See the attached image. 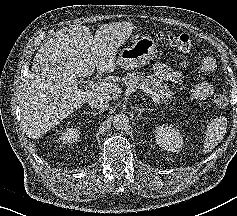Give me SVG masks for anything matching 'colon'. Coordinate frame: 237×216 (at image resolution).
I'll return each mask as SVG.
<instances>
[{
  "label": "colon",
  "mask_w": 237,
  "mask_h": 216,
  "mask_svg": "<svg viewBox=\"0 0 237 216\" xmlns=\"http://www.w3.org/2000/svg\"><path fill=\"white\" fill-rule=\"evenodd\" d=\"M168 43L182 52L190 51L192 47V41L189 35L182 33V34H170L165 37ZM214 104L218 108H225L228 104V99L223 94H216L213 98Z\"/></svg>",
  "instance_id": "5ec220e1"
}]
</instances>
